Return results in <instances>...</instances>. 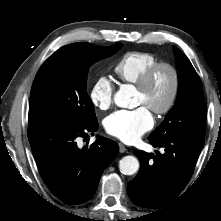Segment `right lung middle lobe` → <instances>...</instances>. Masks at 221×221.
<instances>
[{
	"label": "right lung middle lobe",
	"mask_w": 221,
	"mask_h": 221,
	"mask_svg": "<svg viewBox=\"0 0 221 221\" xmlns=\"http://www.w3.org/2000/svg\"><path fill=\"white\" fill-rule=\"evenodd\" d=\"M120 47L73 43L52 54L32 85L29 125L46 120L81 126L95 122L94 106L86 92L88 71L93 63Z\"/></svg>",
	"instance_id": "dd1d6c3e"
}]
</instances>
